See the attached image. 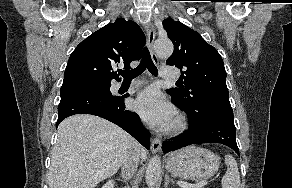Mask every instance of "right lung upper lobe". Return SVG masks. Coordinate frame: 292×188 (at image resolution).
I'll use <instances>...</instances> for the list:
<instances>
[{"instance_id": "obj_1", "label": "right lung upper lobe", "mask_w": 292, "mask_h": 188, "mask_svg": "<svg viewBox=\"0 0 292 188\" xmlns=\"http://www.w3.org/2000/svg\"><path fill=\"white\" fill-rule=\"evenodd\" d=\"M145 35L133 21L118 18L82 41L71 53L64 81L74 79L119 80L113 70L122 65L129 69L130 62L139 60L145 44Z\"/></svg>"}]
</instances>
